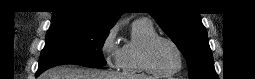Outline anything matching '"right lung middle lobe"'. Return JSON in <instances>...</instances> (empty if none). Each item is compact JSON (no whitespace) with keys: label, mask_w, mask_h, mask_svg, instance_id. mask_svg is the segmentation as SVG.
Returning a JSON list of instances; mask_svg holds the SVG:
<instances>
[{"label":"right lung middle lobe","mask_w":255,"mask_h":79,"mask_svg":"<svg viewBox=\"0 0 255 79\" xmlns=\"http://www.w3.org/2000/svg\"><path fill=\"white\" fill-rule=\"evenodd\" d=\"M109 29L52 24L46 35V44L40 55L38 71L60 65L77 64L101 67L106 64L102 46Z\"/></svg>","instance_id":"1"}]
</instances>
